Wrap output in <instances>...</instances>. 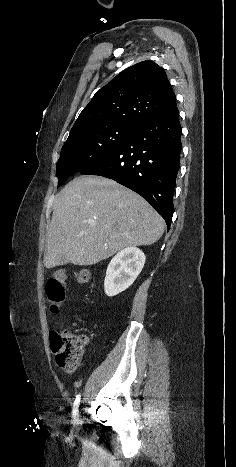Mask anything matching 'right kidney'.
<instances>
[{
    "label": "right kidney",
    "instance_id": "1",
    "mask_svg": "<svg viewBox=\"0 0 236 467\" xmlns=\"http://www.w3.org/2000/svg\"><path fill=\"white\" fill-rule=\"evenodd\" d=\"M145 254L136 247L118 252L110 261L104 281L107 296H115L133 284L145 264Z\"/></svg>",
    "mask_w": 236,
    "mask_h": 467
}]
</instances>
